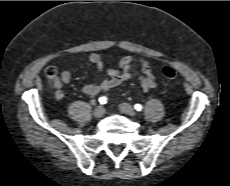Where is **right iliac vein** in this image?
I'll return each mask as SVG.
<instances>
[{"mask_svg":"<svg viewBox=\"0 0 230 186\" xmlns=\"http://www.w3.org/2000/svg\"><path fill=\"white\" fill-rule=\"evenodd\" d=\"M93 114L96 118H100L105 114V108L103 106H98L94 109Z\"/></svg>","mask_w":230,"mask_h":186,"instance_id":"right-iliac-vein-1","label":"right iliac vein"}]
</instances>
